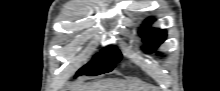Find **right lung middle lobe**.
Here are the masks:
<instances>
[{
	"label": "right lung middle lobe",
	"mask_w": 220,
	"mask_h": 91,
	"mask_svg": "<svg viewBox=\"0 0 220 91\" xmlns=\"http://www.w3.org/2000/svg\"><path fill=\"white\" fill-rule=\"evenodd\" d=\"M120 59V51L114 46H108L101 53L94 56L91 62L81 68L77 75L95 76L110 72Z\"/></svg>",
	"instance_id": "right-lung-middle-lobe-1"
}]
</instances>
